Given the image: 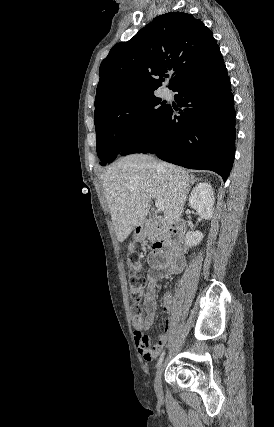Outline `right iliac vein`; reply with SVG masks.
<instances>
[{"mask_svg":"<svg viewBox=\"0 0 274 427\" xmlns=\"http://www.w3.org/2000/svg\"><path fill=\"white\" fill-rule=\"evenodd\" d=\"M164 367V363H162L160 365V367L158 368L155 378H154V388L156 393H159L162 389V370Z\"/></svg>","mask_w":274,"mask_h":427,"instance_id":"1","label":"right iliac vein"}]
</instances>
